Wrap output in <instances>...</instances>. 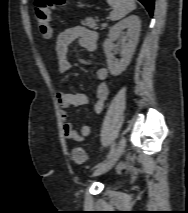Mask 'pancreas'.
I'll return each instance as SVG.
<instances>
[{"mask_svg": "<svg viewBox=\"0 0 188 213\" xmlns=\"http://www.w3.org/2000/svg\"><path fill=\"white\" fill-rule=\"evenodd\" d=\"M81 24L91 29H97L96 21L91 17H88L85 20L81 21Z\"/></svg>", "mask_w": 188, "mask_h": 213, "instance_id": "1", "label": "pancreas"}]
</instances>
